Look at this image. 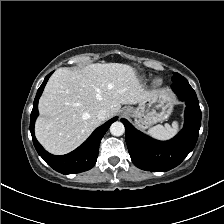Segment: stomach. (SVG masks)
I'll use <instances>...</instances> for the list:
<instances>
[{"label": "stomach", "instance_id": "stomach-1", "mask_svg": "<svg viewBox=\"0 0 224 224\" xmlns=\"http://www.w3.org/2000/svg\"><path fill=\"white\" fill-rule=\"evenodd\" d=\"M173 106V96L163 90L140 102L136 108L128 107V109L129 115L134 118L135 125L139 129H146L166 120L172 113Z\"/></svg>", "mask_w": 224, "mask_h": 224}]
</instances>
